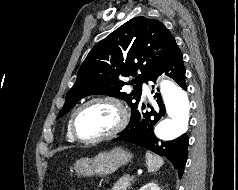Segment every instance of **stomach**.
Here are the masks:
<instances>
[{
    "instance_id": "1",
    "label": "stomach",
    "mask_w": 238,
    "mask_h": 190,
    "mask_svg": "<svg viewBox=\"0 0 238 190\" xmlns=\"http://www.w3.org/2000/svg\"><path fill=\"white\" fill-rule=\"evenodd\" d=\"M133 154L116 147L109 152H101L94 158H81L74 164L75 171L83 177L108 176L119 167L128 164Z\"/></svg>"
}]
</instances>
